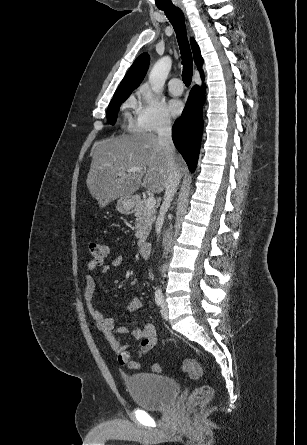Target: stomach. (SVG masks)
<instances>
[{"label":"stomach","instance_id":"0dacf381","mask_svg":"<svg viewBox=\"0 0 307 445\" xmlns=\"http://www.w3.org/2000/svg\"><path fill=\"white\" fill-rule=\"evenodd\" d=\"M134 206L135 202L132 196H121V198H118L116 204V208L118 212H121V214H131Z\"/></svg>","mask_w":307,"mask_h":445}]
</instances>
